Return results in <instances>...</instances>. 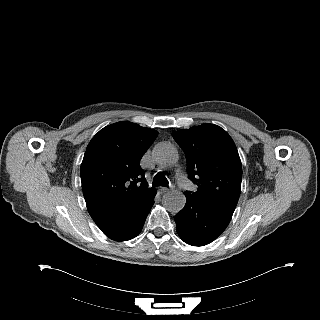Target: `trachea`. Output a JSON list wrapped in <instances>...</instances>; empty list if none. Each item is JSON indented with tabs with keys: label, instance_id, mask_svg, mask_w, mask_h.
Instances as JSON below:
<instances>
[{
	"label": "trachea",
	"instance_id": "obj_1",
	"mask_svg": "<svg viewBox=\"0 0 320 320\" xmlns=\"http://www.w3.org/2000/svg\"><path fill=\"white\" fill-rule=\"evenodd\" d=\"M168 184L169 182L162 172L157 173L153 178V186H167Z\"/></svg>",
	"mask_w": 320,
	"mask_h": 320
}]
</instances>
